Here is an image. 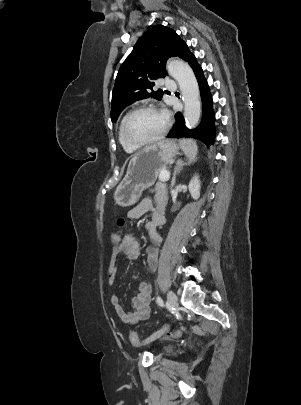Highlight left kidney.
Wrapping results in <instances>:
<instances>
[{"instance_id":"left-kidney-1","label":"left kidney","mask_w":301,"mask_h":405,"mask_svg":"<svg viewBox=\"0 0 301 405\" xmlns=\"http://www.w3.org/2000/svg\"><path fill=\"white\" fill-rule=\"evenodd\" d=\"M200 180L198 176H194L189 183V192L194 200L200 197Z\"/></svg>"}]
</instances>
